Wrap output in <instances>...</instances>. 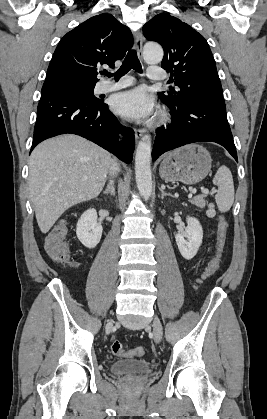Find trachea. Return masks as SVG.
Masks as SVG:
<instances>
[{
  "instance_id": "3493384b",
  "label": "trachea",
  "mask_w": 267,
  "mask_h": 419,
  "mask_svg": "<svg viewBox=\"0 0 267 419\" xmlns=\"http://www.w3.org/2000/svg\"><path fill=\"white\" fill-rule=\"evenodd\" d=\"M134 69L138 73H142V66L138 59L137 52L135 50H131L127 53L121 67L115 74L110 72H103L106 76L115 75L116 79H119L121 76L125 75L129 70Z\"/></svg>"
}]
</instances>
